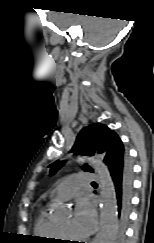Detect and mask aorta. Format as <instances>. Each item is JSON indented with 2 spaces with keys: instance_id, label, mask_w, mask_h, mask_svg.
<instances>
[{
  "instance_id": "aorta-1",
  "label": "aorta",
  "mask_w": 154,
  "mask_h": 243,
  "mask_svg": "<svg viewBox=\"0 0 154 243\" xmlns=\"http://www.w3.org/2000/svg\"><path fill=\"white\" fill-rule=\"evenodd\" d=\"M90 161L93 162L95 170L99 175L102 203L100 226L92 243H114L117 226V210L113 181L108 168L104 164L94 159H90Z\"/></svg>"
}]
</instances>
